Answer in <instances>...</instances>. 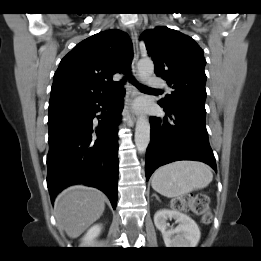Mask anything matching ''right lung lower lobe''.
<instances>
[{
    "label": "right lung lower lobe",
    "instance_id": "1",
    "mask_svg": "<svg viewBox=\"0 0 261 261\" xmlns=\"http://www.w3.org/2000/svg\"><path fill=\"white\" fill-rule=\"evenodd\" d=\"M124 89L49 109L47 187L52 202L65 187L83 183L117 203L118 124ZM100 112L101 115L96 116ZM98 119V120H97Z\"/></svg>",
    "mask_w": 261,
    "mask_h": 261
}]
</instances>
